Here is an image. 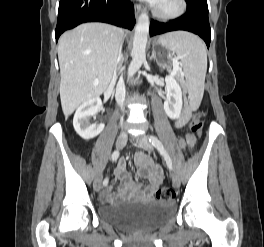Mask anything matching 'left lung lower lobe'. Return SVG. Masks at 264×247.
Segmentation results:
<instances>
[{
  "mask_svg": "<svg viewBox=\"0 0 264 247\" xmlns=\"http://www.w3.org/2000/svg\"><path fill=\"white\" fill-rule=\"evenodd\" d=\"M186 2L187 12L181 17L166 23L151 20L150 36L170 31L185 30L199 35L209 47L211 30L207 0H186Z\"/></svg>",
  "mask_w": 264,
  "mask_h": 247,
  "instance_id": "left-lung-lower-lobe-1",
  "label": "left lung lower lobe"
}]
</instances>
